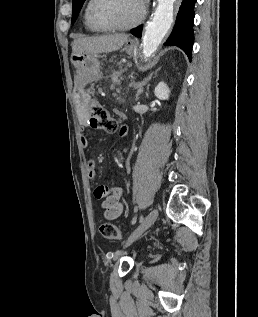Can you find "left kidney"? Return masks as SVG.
Listing matches in <instances>:
<instances>
[{
	"label": "left kidney",
	"instance_id": "obj_1",
	"mask_svg": "<svg viewBox=\"0 0 258 317\" xmlns=\"http://www.w3.org/2000/svg\"><path fill=\"white\" fill-rule=\"evenodd\" d=\"M154 94L157 98H160V100H167V98H169L170 88L165 82H158L154 88Z\"/></svg>",
	"mask_w": 258,
	"mask_h": 317
}]
</instances>
